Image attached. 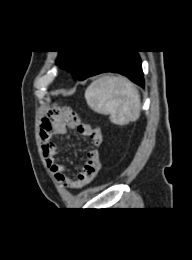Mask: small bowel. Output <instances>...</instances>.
I'll return each instance as SVG.
<instances>
[{"instance_id": "1", "label": "small bowel", "mask_w": 192, "mask_h": 260, "mask_svg": "<svg viewBox=\"0 0 192 260\" xmlns=\"http://www.w3.org/2000/svg\"><path fill=\"white\" fill-rule=\"evenodd\" d=\"M67 128L76 129L79 134L90 138L95 146L101 145L102 132L90 124L83 123L80 117L70 110H67L64 116H52L42 122L40 137L47 166L64 188L80 190L97 176L100 168V153L98 149L90 150L83 168L73 176L67 175L64 166L58 161L59 148L53 140L54 136L65 134Z\"/></svg>"}]
</instances>
